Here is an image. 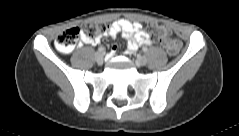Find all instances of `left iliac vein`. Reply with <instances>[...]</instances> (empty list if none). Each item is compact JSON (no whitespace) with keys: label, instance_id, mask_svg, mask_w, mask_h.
I'll list each match as a JSON object with an SVG mask.
<instances>
[{"label":"left iliac vein","instance_id":"left-iliac-vein-1","mask_svg":"<svg viewBox=\"0 0 239 136\" xmlns=\"http://www.w3.org/2000/svg\"><path fill=\"white\" fill-rule=\"evenodd\" d=\"M147 63V58L145 56H137L136 64L138 66L145 65Z\"/></svg>","mask_w":239,"mask_h":136}]
</instances>
